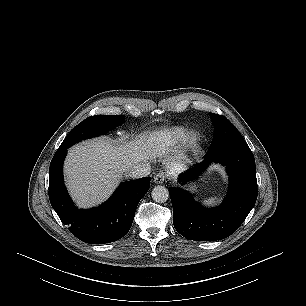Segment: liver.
Returning a JSON list of instances; mask_svg holds the SVG:
<instances>
[{
  "instance_id": "1",
  "label": "liver",
  "mask_w": 306,
  "mask_h": 306,
  "mask_svg": "<svg viewBox=\"0 0 306 306\" xmlns=\"http://www.w3.org/2000/svg\"><path fill=\"white\" fill-rule=\"evenodd\" d=\"M165 133L152 132L128 142H114L105 137L87 140L69 149L64 173L73 200L88 208L106 200L123 175L138 163L164 158L176 171L182 163L167 155Z\"/></svg>"
}]
</instances>
